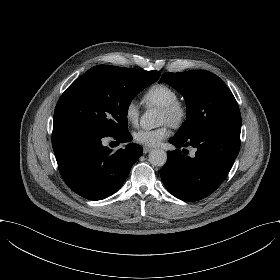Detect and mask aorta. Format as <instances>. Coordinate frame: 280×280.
<instances>
[{
    "label": "aorta",
    "mask_w": 280,
    "mask_h": 280,
    "mask_svg": "<svg viewBox=\"0 0 280 280\" xmlns=\"http://www.w3.org/2000/svg\"><path fill=\"white\" fill-rule=\"evenodd\" d=\"M140 124L146 130L155 128L158 124V111L155 109L145 113L140 119ZM166 161L167 153L162 149L154 148L149 153V162L154 166H163Z\"/></svg>",
    "instance_id": "1"
}]
</instances>
